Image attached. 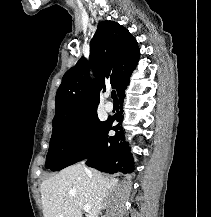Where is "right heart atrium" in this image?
Here are the masks:
<instances>
[{
    "instance_id": "right-heart-atrium-1",
    "label": "right heart atrium",
    "mask_w": 211,
    "mask_h": 217,
    "mask_svg": "<svg viewBox=\"0 0 211 217\" xmlns=\"http://www.w3.org/2000/svg\"><path fill=\"white\" fill-rule=\"evenodd\" d=\"M85 136V132H81L79 135H78V139L82 138Z\"/></svg>"
}]
</instances>
